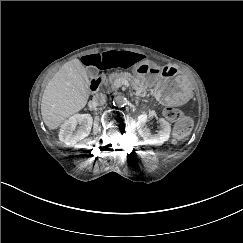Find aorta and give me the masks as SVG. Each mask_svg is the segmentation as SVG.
I'll use <instances>...</instances> for the list:
<instances>
[{"mask_svg": "<svg viewBox=\"0 0 243 243\" xmlns=\"http://www.w3.org/2000/svg\"><path fill=\"white\" fill-rule=\"evenodd\" d=\"M113 103L116 107L118 108H123L127 104V99L124 95L122 94H117L113 98Z\"/></svg>", "mask_w": 243, "mask_h": 243, "instance_id": "762f6f07", "label": "aorta"}]
</instances>
